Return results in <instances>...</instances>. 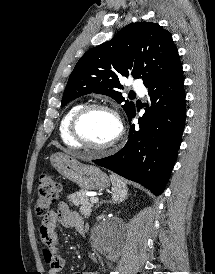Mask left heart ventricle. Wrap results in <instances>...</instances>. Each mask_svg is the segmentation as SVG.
Segmentation results:
<instances>
[{"label": "left heart ventricle", "instance_id": "1", "mask_svg": "<svg viewBox=\"0 0 215 274\" xmlns=\"http://www.w3.org/2000/svg\"><path fill=\"white\" fill-rule=\"evenodd\" d=\"M84 138L94 145H104L115 138L118 125L113 115L106 111L94 110L88 113L80 124Z\"/></svg>", "mask_w": 215, "mask_h": 274}]
</instances>
